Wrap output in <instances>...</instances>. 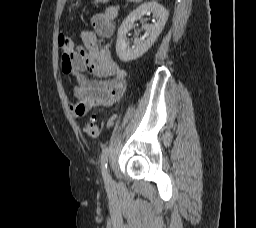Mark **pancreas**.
<instances>
[{
  "label": "pancreas",
  "mask_w": 256,
  "mask_h": 228,
  "mask_svg": "<svg viewBox=\"0 0 256 228\" xmlns=\"http://www.w3.org/2000/svg\"><path fill=\"white\" fill-rule=\"evenodd\" d=\"M141 0H127V2H140Z\"/></svg>",
  "instance_id": "1"
}]
</instances>
